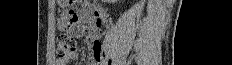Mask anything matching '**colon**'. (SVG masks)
I'll return each instance as SVG.
<instances>
[{"label": "colon", "mask_w": 232, "mask_h": 65, "mask_svg": "<svg viewBox=\"0 0 232 65\" xmlns=\"http://www.w3.org/2000/svg\"><path fill=\"white\" fill-rule=\"evenodd\" d=\"M77 41L76 39L68 34H61L58 37L57 42V53L59 57H64L67 54L73 52L76 49Z\"/></svg>", "instance_id": "obj_1"}]
</instances>
